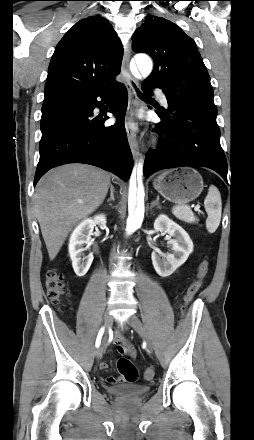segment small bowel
I'll list each match as a JSON object with an SVG mask.
<instances>
[{
  "label": "small bowel",
  "mask_w": 254,
  "mask_h": 440,
  "mask_svg": "<svg viewBox=\"0 0 254 440\" xmlns=\"http://www.w3.org/2000/svg\"><path fill=\"white\" fill-rule=\"evenodd\" d=\"M114 343L117 347V351L121 354H127L131 357H134L136 355V350L133 347V345H131L127 339L121 335L120 333H116L114 336ZM100 368L102 370H106L108 369V363L107 362H101L100 363ZM106 383L108 384H116V383H120V382H124V379L122 377H113V376H109L105 379Z\"/></svg>",
  "instance_id": "small-bowel-1"
}]
</instances>
